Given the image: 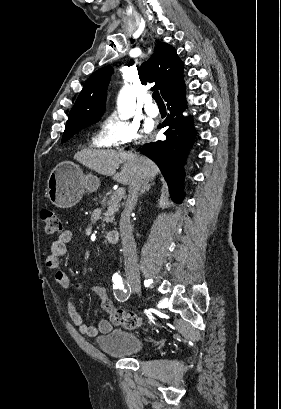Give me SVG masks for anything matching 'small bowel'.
I'll return each instance as SVG.
<instances>
[{
  "label": "small bowel",
  "instance_id": "small-bowel-1",
  "mask_svg": "<svg viewBox=\"0 0 281 409\" xmlns=\"http://www.w3.org/2000/svg\"><path fill=\"white\" fill-rule=\"evenodd\" d=\"M71 239L72 232L70 230L61 232L58 238L53 242L50 254L46 259V266L49 269L55 270V280L63 289H68L71 285V281L69 275L65 271L58 269V267L60 258L66 253L67 244ZM86 290L92 292L99 298L103 309L110 314V318L101 320L98 326L87 325L76 300L73 297L68 296L66 306L71 322L77 327L80 334L89 337H96L100 334L110 333L113 330L114 325H118L112 320L113 313L118 309L115 308L112 299L109 297L104 287L87 286Z\"/></svg>",
  "mask_w": 281,
  "mask_h": 409
}]
</instances>
